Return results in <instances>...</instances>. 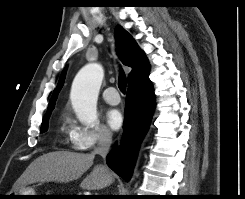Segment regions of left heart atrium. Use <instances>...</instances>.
<instances>
[{
  "label": "left heart atrium",
  "mask_w": 245,
  "mask_h": 199,
  "mask_svg": "<svg viewBox=\"0 0 245 199\" xmlns=\"http://www.w3.org/2000/svg\"><path fill=\"white\" fill-rule=\"evenodd\" d=\"M106 121L112 130H119L123 124V116L117 109H111L106 114Z\"/></svg>",
  "instance_id": "1"
}]
</instances>
